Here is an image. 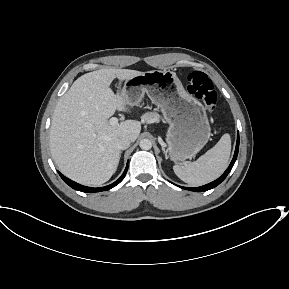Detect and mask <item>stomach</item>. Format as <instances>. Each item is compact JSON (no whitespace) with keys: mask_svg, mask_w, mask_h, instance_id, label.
<instances>
[{"mask_svg":"<svg viewBox=\"0 0 289 289\" xmlns=\"http://www.w3.org/2000/svg\"><path fill=\"white\" fill-rule=\"evenodd\" d=\"M123 94L130 106L138 105L147 94L160 108L169 124L166 140L171 160L190 159L208 142L211 128L206 109L185 91L174 71L153 70L129 78Z\"/></svg>","mask_w":289,"mask_h":289,"instance_id":"obj_1","label":"stomach"}]
</instances>
